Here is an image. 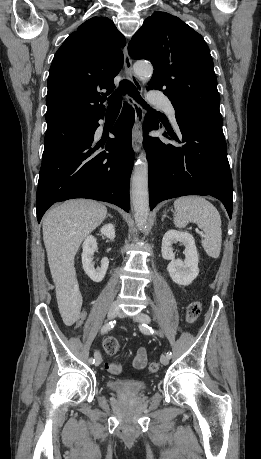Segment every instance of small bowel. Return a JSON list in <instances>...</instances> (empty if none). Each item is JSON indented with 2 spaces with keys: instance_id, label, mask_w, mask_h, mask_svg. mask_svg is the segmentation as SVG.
<instances>
[{
  "instance_id": "c3829d8e",
  "label": "small bowel",
  "mask_w": 261,
  "mask_h": 459,
  "mask_svg": "<svg viewBox=\"0 0 261 459\" xmlns=\"http://www.w3.org/2000/svg\"><path fill=\"white\" fill-rule=\"evenodd\" d=\"M86 317V311L83 310L80 314V320H83ZM147 364V353L144 348H140L133 360V366L136 369H143Z\"/></svg>"
}]
</instances>
